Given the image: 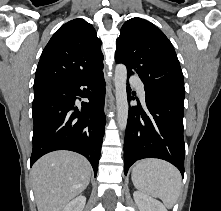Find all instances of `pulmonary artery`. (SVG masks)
Listing matches in <instances>:
<instances>
[{"mask_svg": "<svg viewBox=\"0 0 221 211\" xmlns=\"http://www.w3.org/2000/svg\"><path fill=\"white\" fill-rule=\"evenodd\" d=\"M130 83L137 88L140 96L143 99H145L146 94L144 90V84L142 83V81L139 78L133 76L130 78Z\"/></svg>", "mask_w": 221, "mask_h": 211, "instance_id": "1", "label": "pulmonary artery"}]
</instances>
